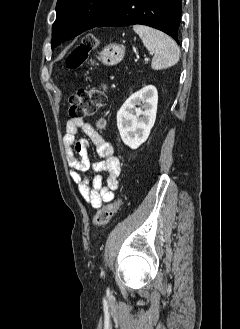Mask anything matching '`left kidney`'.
I'll return each mask as SVG.
<instances>
[{
    "label": "left kidney",
    "mask_w": 240,
    "mask_h": 329,
    "mask_svg": "<svg viewBox=\"0 0 240 329\" xmlns=\"http://www.w3.org/2000/svg\"><path fill=\"white\" fill-rule=\"evenodd\" d=\"M157 89L148 85L132 94L117 113V127L122 141L131 149L143 144L154 126L157 112ZM143 104L142 108L136 107Z\"/></svg>",
    "instance_id": "left-kidney-1"
}]
</instances>
